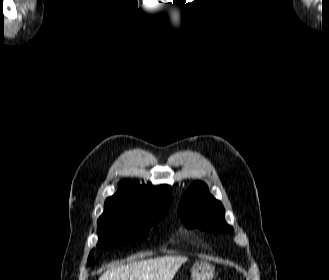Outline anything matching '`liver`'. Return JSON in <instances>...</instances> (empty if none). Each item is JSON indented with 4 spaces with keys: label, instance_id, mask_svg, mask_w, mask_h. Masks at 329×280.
<instances>
[{
    "label": "liver",
    "instance_id": "1",
    "mask_svg": "<svg viewBox=\"0 0 329 280\" xmlns=\"http://www.w3.org/2000/svg\"><path fill=\"white\" fill-rule=\"evenodd\" d=\"M187 257L164 256L135 261L127 264H116L104 272L99 280H172Z\"/></svg>",
    "mask_w": 329,
    "mask_h": 280
}]
</instances>
